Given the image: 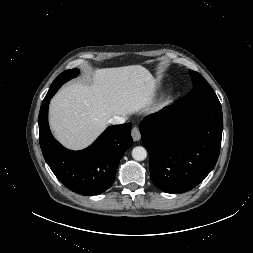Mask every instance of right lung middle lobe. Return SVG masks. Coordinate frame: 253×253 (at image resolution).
Instances as JSON below:
<instances>
[{"label": "right lung middle lobe", "mask_w": 253, "mask_h": 253, "mask_svg": "<svg viewBox=\"0 0 253 253\" xmlns=\"http://www.w3.org/2000/svg\"><path fill=\"white\" fill-rule=\"evenodd\" d=\"M79 72L80 71L78 69H71V70H66L60 75H58L56 79L53 81V83L51 84L48 93L54 90L57 91L61 87L62 84H64L71 78L76 77L79 74Z\"/></svg>", "instance_id": "obj_1"}]
</instances>
